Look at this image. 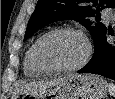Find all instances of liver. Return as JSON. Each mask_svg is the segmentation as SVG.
I'll use <instances>...</instances> for the list:
<instances>
[{"mask_svg":"<svg viewBox=\"0 0 115 99\" xmlns=\"http://www.w3.org/2000/svg\"><path fill=\"white\" fill-rule=\"evenodd\" d=\"M72 76L73 75H68V76H64V77H58V78H55V79L50 80V81H40V82L27 83L21 87V91L24 93H28V92H35V91L51 88V87H54V86L62 83L63 81H65L66 79H68Z\"/></svg>","mask_w":115,"mask_h":99,"instance_id":"6515ba94","label":"liver"}]
</instances>
